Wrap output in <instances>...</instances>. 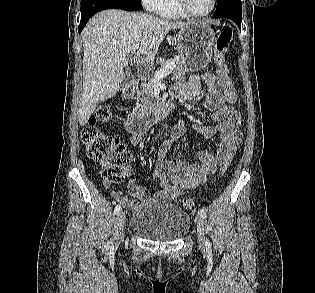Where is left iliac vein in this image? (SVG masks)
Masks as SVG:
<instances>
[{
	"label": "left iliac vein",
	"mask_w": 315,
	"mask_h": 293,
	"mask_svg": "<svg viewBox=\"0 0 315 293\" xmlns=\"http://www.w3.org/2000/svg\"><path fill=\"white\" fill-rule=\"evenodd\" d=\"M195 222L197 225V237L199 248L205 249V226L203 217L199 214L195 217Z\"/></svg>",
	"instance_id": "4c4485c4"
}]
</instances>
